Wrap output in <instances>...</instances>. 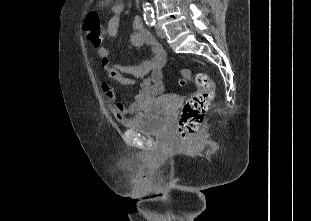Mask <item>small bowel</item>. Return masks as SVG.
Returning <instances> with one entry per match:
<instances>
[{
	"label": "small bowel",
	"mask_w": 311,
	"mask_h": 221,
	"mask_svg": "<svg viewBox=\"0 0 311 221\" xmlns=\"http://www.w3.org/2000/svg\"><path fill=\"white\" fill-rule=\"evenodd\" d=\"M123 11L124 3L122 1H116L111 5V17L105 29L107 38L114 39L118 36L120 17ZM133 28L132 45L135 47H141L144 44L150 46L149 59L138 64L120 65L110 61L108 47L101 46L97 52L104 75L102 89L111 111L118 119L140 112L150 99L163 90L162 70L167 62L166 53L144 28L140 17L133 19ZM111 80H115L122 85H138L139 91L132 103L125 105L117 99L116 90L111 84Z\"/></svg>",
	"instance_id": "c3829d8e"
}]
</instances>
